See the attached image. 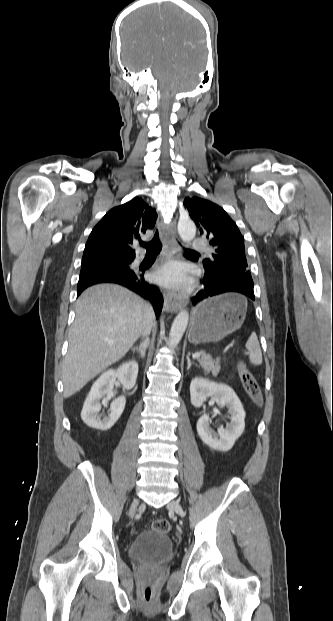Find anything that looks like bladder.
<instances>
[{"mask_svg":"<svg viewBox=\"0 0 333 621\" xmlns=\"http://www.w3.org/2000/svg\"><path fill=\"white\" fill-rule=\"evenodd\" d=\"M173 552L170 537L155 531L140 533L128 548L129 557L136 562L164 563L172 558Z\"/></svg>","mask_w":333,"mask_h":621,"instance_id":"31cf9c89","label":"bladder"}]
</instances>
